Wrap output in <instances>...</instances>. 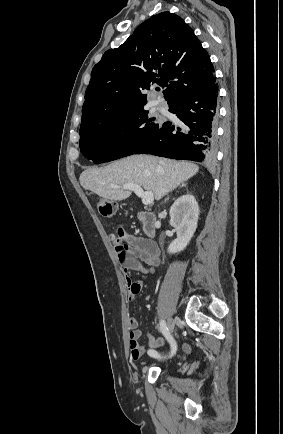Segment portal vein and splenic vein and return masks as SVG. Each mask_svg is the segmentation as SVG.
<instances>
[{
    "instance_id": "portal-vein-and-splenic-vein-1",
    "label": "portal vein and splenic vein",
    "mask_w": 283,
    "mask_h": 434,
    "mask_svg": "<svg viewBox=\"0 0 283 434\" xmlns=\"http://www.w3.org/2000/svg\"><path fill=\"white\" fill-rule=\"evenodd\" d=\"M117 187V186H116ZM123 189L133 191L137 196L141 197L144 205H150L154 201V194L152 192H144L141 186L137 184H125Z\"/></svg>"
}]
</instances>
